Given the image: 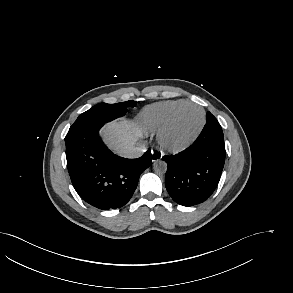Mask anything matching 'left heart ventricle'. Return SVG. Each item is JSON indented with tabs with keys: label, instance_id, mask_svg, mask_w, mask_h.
Wrapping results in <instances>:
<instances>
[{
	"label": "left heart ventricle",
	"instance_id": "obj_1",
	"mask_svg": "<svg viewBox=\"0 0 293 293\" xmlns=\"http://www.w3.org/2000/svg\"><path fill=\"white\" fill-rule=\"evenodd\" d=\"M201 120L202 113L198 108L189 106L182 109L168 133V143L177 146L187 142L198 130Z\"/></svg>",
	"mask_w": 293,
	"mask_h": 293
}]
</instances>
